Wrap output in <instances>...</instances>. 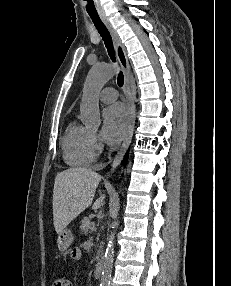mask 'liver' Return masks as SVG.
I'll use <instances>...</instances> for the list:
<instances>
[{
	"mask_svg": "<svg viewBox=\"0 0 231 286\" xmlns=\"http://www.w3.org/2000/svg\"><path fill=\"white\" fill-rule=\"evenodd\" d=\"M101 175L87 168H69L55 177L53 189V223L59 234L82 211L92 205ZM110 189V185H106ZM105 195H101L92 205L98 209Z\"/></svg>",
	"mask_w": 231,
	"mask_h": 286,
	"instance_id": "6515ba94",
	"label": "liver"
}]
</instances>
